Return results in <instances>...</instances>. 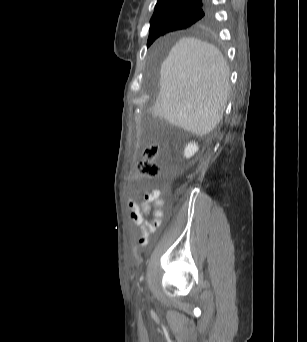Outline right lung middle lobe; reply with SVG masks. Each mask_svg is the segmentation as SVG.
<instances>
[{
  "instance_id": "1",
  "label": "right lung middle lobe",
  "mask_w": 307,
  "mask_h": 342,
  "mask_svg": "<svg viewBox=\"0 0 307 342\" xmlns=\"http://www.w3.org/2000/svg\"><path fill=\"white\" fill-rule=\"evenodd\" d=\"M204 10L185 9L166 11L159 14L150 27L147 46L149 47L159 36L195 23L203 15Z\"/></svg>"
}]
</instances>
